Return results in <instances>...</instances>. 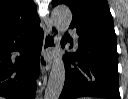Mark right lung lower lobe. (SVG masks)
Instances as JSON below:
<instances>
[{"instance_id":"1","label":"right lung lower lobe","mask_w":128,"mask_h":99,"mask_svg":"<svg viewBox=\"0 0 128 99\" xmlns=\"http://www.w3.org/2000/svg\"><path fill=\"white\" fill-rule=\"evenodd\" d=\"M42 43L38 16L0 35V96L34 99ZM12 52L20 56L14 58Z\"/></svg>"}]
</instances>
